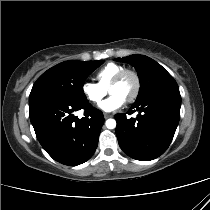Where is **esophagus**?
<instances>
[{
	"instance_id": "obj_1",
	"label": "esophagus",
	"mask_w": 210,
	"mask_h": 210,
	"mask_svg": "<svg viewBox=\"0 0 210 210\" xmlns=\"http://www.w3.org/2000/svg\"><path fill=\"white\" fill-rule=\"evenodd\" d=\"M110 117H112L111 114H108V113H105V114H104V118H105V119H108V118H110Z\"/></svg>"
}]
</instances>
